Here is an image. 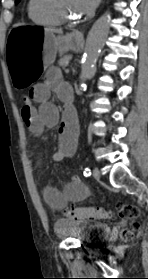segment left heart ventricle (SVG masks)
Listing matches in <instances>:
<instances>
[{
    "label": "left heart ventricle",
    "mask_w": 148,
    "mask_h": 279,
    "mask_svg": "<svg viewBox=\"0 0 148 279\" xmlns=\"http://www.w3.org/2000/svg\"><path fill=\"white\" fill-rule=\"evenodd\" d=\"M59 1H60L61 8L68 15L77 17L80 14L76 8L75 0H59Z\"/></svg>",
    "instance_id": "obj_1"
}]
</instances>
